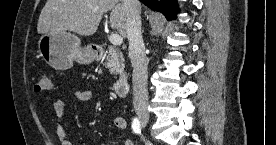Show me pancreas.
<instances>
[{
  "mask_svg": "<svg viewBox=\"0 0 276 145\" xmlns=\"http://www.w3.org/2000/svg\"><path fill=\"white\" fill-rule=\"evenodd\" d=\"M123 54L117 51L115 48L110 47L107 51L106 66L110 70L111 74L117 75L123 68Z\"/></svg>",
  "mask_w": 276,
  "mask_h": 145,
  "instance_id": "cf45deb5",
  "label": "pancreas"
}]
</instances>
